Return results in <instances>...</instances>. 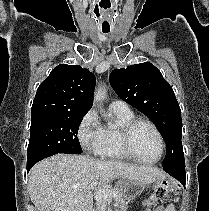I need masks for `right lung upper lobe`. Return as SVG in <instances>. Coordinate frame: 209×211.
Listing matches in <instances>:
<instances>
[{
  "label": "right lung upper lobe",
  "mask_w": 209,
  "mask_h": 211,
  "mask_svg": "<svg viewBox=\"0 0 209 211\" xmlns=\"http://www.w3.org/2000/svg\"><path fill=\"white\" fill-rule=\"evenodd\" d=\"M95 83L94 74L79 65H58L38 87L32 116L86 114Z\"/></svg>",
  "instance_id": "right-lung-upper-lobe-1"
}]
</instances>
